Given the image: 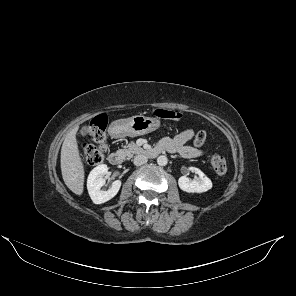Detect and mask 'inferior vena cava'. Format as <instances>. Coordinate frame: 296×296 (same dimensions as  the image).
Listing matches in <instances>:
<instances>
[{"instance_id": "1", "label": "inferior vena cava", "mask_w": 296, "mask_h": 296, "mask_svg": "<svg viewBox=\"0 0 296 296\" xmlns=\"http://www.w3.org/2000/svg\"><path fill=\"white\" fill-rule=\"evenodd\" d=\"M148 161L147 157L145 155H137L134 157L133 163L136 166H140L145 164Z\"/></svg>"}]
</instances>
